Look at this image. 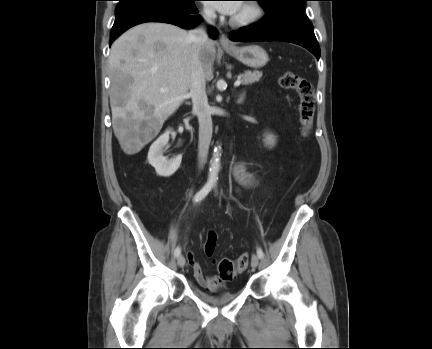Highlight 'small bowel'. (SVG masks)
Masks as SVG:
<instances>
[{
  "instance_id": "1",
  "label": "small bowel",
  "mask_w": 432,
  "mask_h": 349,
  "mask_svg": "<svg viewBox=\"0 0 432 349\" xmlns=\"http://www.w3.org/2000/svg\"><path fill=\"white\" fill-rule=\"evenodd\" d=\"M233 174L237 182L249 189H254L259 185V180L251 173L246 170L245 163L243 161H237L233 165ZM189 264L192 267L194 277L197 283L209 290H215L223 286V280L220 277H208L205 276L200 264L195 260L192 252L187 253Z\"/></svg>"
}]
</instances>
